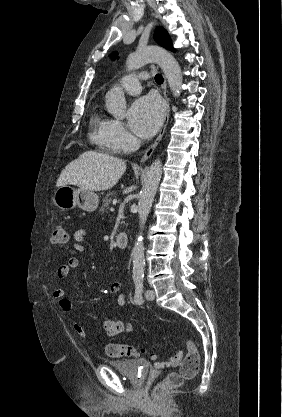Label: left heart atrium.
<instances>
[{"instance_id":"39dd6f15","label":"left heart atrium","mask_w":282,"mask_h":417,"mask_svg":"<svg viewBox=\"0 0 282 417\" xmlns=\"http://www.w3.org/2000/svg\"><path fill=\"white\" fill-rule=\"evenodd\" d=\"M163 116V105L159 98L146 96L137 100L129 111L131 130L142 137L150 136L159 127Z\"/></svg>"}]
</instances>
